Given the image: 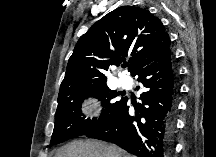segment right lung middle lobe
Returning <instances> with one entry per match:
<instances>
[{"instance_id":"obj_1","label":"right lung middle lobe","mask_w":216,"mask_h":157,"mask_svg":"<svg viewBox=\"0 0 216 157\" xmlns=\"http://www.w3.org/2000/svg\"><path fill=\"white\" fill-rule=\"evenodd\" d=\"M118 93L108 87L95 88L81 91L58 98V107L55 114V126L50 145L64 142L70 138L87 135L106 123L118 112L125 98L119 101L113 100ZM95 97L103 105L99 118L85 119L81 111L84 99Z\"/></svg>"}]
</instances>
